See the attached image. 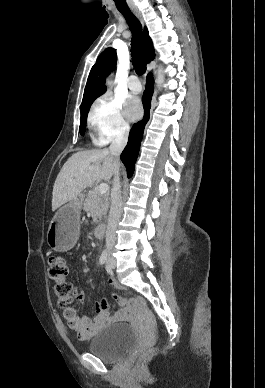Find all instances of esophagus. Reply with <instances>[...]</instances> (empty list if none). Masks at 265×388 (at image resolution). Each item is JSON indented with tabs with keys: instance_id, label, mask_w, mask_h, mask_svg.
I'll list each match as a JSON object with an SVG mask.
<instances>
[{
	"instance_id": "obj_1",
	"label": "esophagus",
	"mask_w": 265,
	"mask_h": 388,
	"mask_svg": "<svg viewBox=\"0 0 265 388\" xmlns=\"http://www.w3.org/2000/svg\"><path fill=\"white\" fill-rule=\"evenodd\" d=\"M132 12L138 18V20L142 23V25H144V20H143V17L141 15V12L137 9H132Z\"/></svg>"
}]
</instances>
